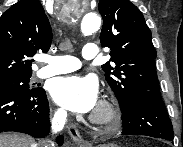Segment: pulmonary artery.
Listing matches in <instances>:
<instances>
[{
    "label": "pulmonary artery",
    "mask_w": 183,
    "mask_h": 147,
    "mask_svg": "<svg viewBox=\"0 0 183 147\" xmlns=\"http://www.w3.org/2000/svg\"><path fill=\"white\" fill-rule=\"evenodd\" d=\"M84 59H94L98 56V48L93 43L86 44L82 49ZM46 66L39 69L36 76L46 78L58 74L75 71L81 67L79 59L73 56H45L41 59Z\"/></svg>",
    "instance_id": "pulmonary-artery-1"
}]
</instances>
